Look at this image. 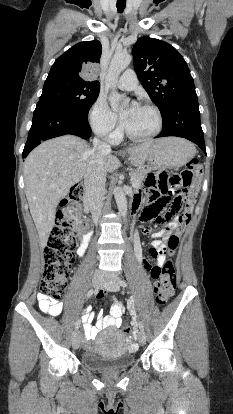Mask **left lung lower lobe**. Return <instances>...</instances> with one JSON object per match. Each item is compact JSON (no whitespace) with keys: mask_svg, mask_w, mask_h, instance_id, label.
<instances>
[{"mask_svg":"<svg viewBox=\"0 0 233 414\" xmlns=\"http://www.w3.org/2000/svg\"><path fill=\"white\" fill-rule=\"evenodd\" d=\"M163 129L157 137L177 136L196 143L206 154L197 97L177 101L162 117Z\"/></svg>","mask_w":233,"mask_h":414,"instance_id":"0a47b994","label":"left lung lower lobe"}]
</instances>
